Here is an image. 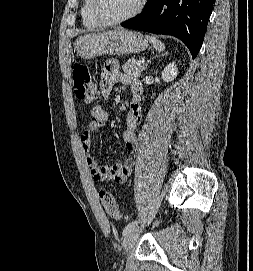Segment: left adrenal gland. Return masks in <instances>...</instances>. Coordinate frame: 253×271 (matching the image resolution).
I'll use <instances>...</instances> for the list:
<instances>
[{
    "mask_svg": "<svg viewBox=\"0 0 253 271\" xmlns=\"http://www.w3.org/2000/svg\"><path fill=\"white\" fill-rule=\"evenodd\" d=\"M165 55H167V52H166V53H164L162 56H165ZM155 57H158V56H155ZM155 57H153V58H155ZM153 58H150L149 60H147V62H146V64H145V67H144V70L147 68L148 63H149V62H150V60H151V59H153Z\"/></svg>",
    "mask_w": 253,
    "mask_h": 271,
    "instance_id": "obj_1",
    "label": "left adrenal gland"
}]
</instances>
